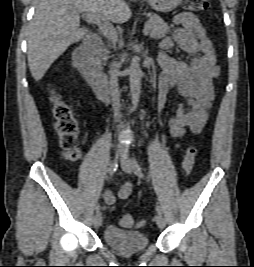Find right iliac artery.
Instances as JSON below:
<instances>
[{"instance_id": "right-iliac-artery-1", "label": "right iliac artery", "mask_w": 254, "mask_h": 267, "mask_svg": "<svg viewBox=\"0 0 254 267\" xmlns=\"http://www.w3.org/2000/svg\"><path fill=\"white\" fill-rule=\"evenodd\" d=\"M117 166H118L117 163H113V164L110 166V168H109V170H108L110 176H112V175L115 173V171H116V169H117ZM95 211H96V213H99V212H100V204H97V205H96V207H95Z\"/></svg>"}]
</instances>
